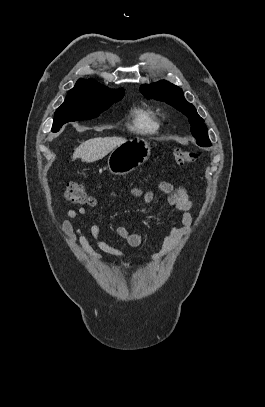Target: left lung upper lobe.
I'll use <instances>...</instances> for the list:
<instances>
[{
    "mask_svg": "<svg viewBox=\"0 0 265 407\" xmlns=\"http://www.w3.org/2000/svg\"><path fill=\"white\" fill-rule=\"evenodd\" d=\"M140 91L147 99L154 98L165 101L181 111L189 119L192 135L195 137L197 144L211 146L204 120L198 115L195 107L186 101L182 89L163 80L150 85H142Z\"/></svg>",
    "mask_w": 265,
    "mask_h": 407,
    "instance_id": "1",
    "label": "left lung upper lobe"
}]
</instances>
